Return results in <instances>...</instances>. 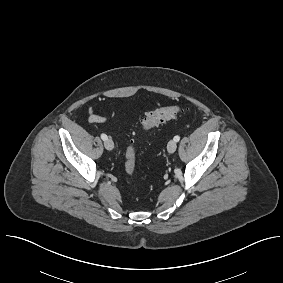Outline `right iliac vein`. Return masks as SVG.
I'll return each mask as SVG.
<instances>
[{
  "instance_id": "right-iliac-vein-1",
  "label": "right iliac vein",
  "mask_w": 283,
  "mask_h": 283,
  "mask_svg": "<svg viewBox=\"0 0 283 283\" xmlns=\"http://www.w3.org/2000/svg\"><path fill=\"white\" fill-rule=\"evenodd\" d=\"M104 146L107 150H112L114 148V143L111 139H106L104 142Z\"/></svg>"
}]
</instances>
